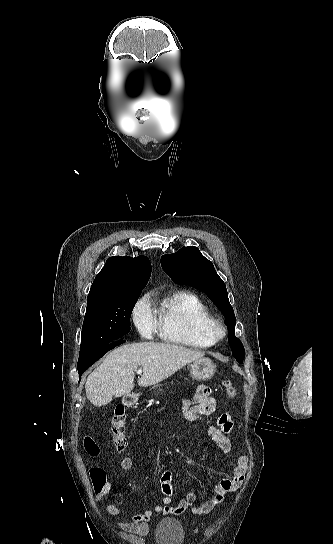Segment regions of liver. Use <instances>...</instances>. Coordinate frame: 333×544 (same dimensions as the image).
<instances>
[{
  "label": "liver",
  "mask_w": 333,
  "mask_h": 544,
  "mask_svg": "<svg viewBox=\"0 0 333 544\" xmlns=\"http://www.w3.org/2000/svg\"><path fill=\"white\" fill-rule=\"evenodd\" d=\"M204 357L201 351L183 346L141 342L111 351L87 378L86 396L94 406H104L114 397L128 395L134 388V371L143 368L138 385L148 387L173 375L185 365Z\"/></svg>",
  "instance_id": "obj_1"
}]
</instances>
